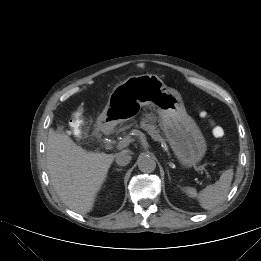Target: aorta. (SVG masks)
<instances>
[{"mask_svg": "<svg viewBox=\"0 0 261 261\" xmlns=\"http://www.w3.org/2000/svg\"><path fill=\"white\" fill-rule=\"evenodd\" d=\"M137 163L139 170L143 173H151L156 169V161L151 156H141Z\"/></svg>", "mask_w": 261, "mask_h": 261, "instance_id": "aorta-1", "label": "aorta"}]
</instances>
